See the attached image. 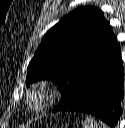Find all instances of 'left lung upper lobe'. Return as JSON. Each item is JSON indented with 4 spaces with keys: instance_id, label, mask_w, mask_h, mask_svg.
<instances>
[{
    "instance_id": "obj_1",
    "label": "left lung upper lobe",
    "mask_w": 125,
    "mask_h": 128,
    "mask_svg": "<svg viewBox=\"0 0 125 128\" xmlns=\"http://www.w3.org/2000/svg\"><path fill=\"white\" fill-rule=\"evenodd\" d=\"M117 43L112 28L96 7H80L64 16L43 37L27 68L26 84L50 79L60 88L53 111L69 104L100 58Z\"/></svg>"
}]
</instances>
